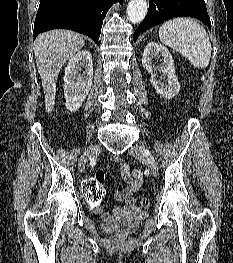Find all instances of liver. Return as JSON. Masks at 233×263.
Here are the masks:
<instances>
[{
    "mask_svg": "<svg viewBox=\"0 0 233 263\" xmlns=\"http://www.w3.org/2000/svg\"><path fill=\"white\" fill-rule=\"evenodd\" d=\"M83 46V36L70 30H51L36 38L34 54L48 113L52 112L55 104L56 81L61 67Z\"/></svg>",
    "mask_w": 233,
    "mask_h": 263,
    "instance_id": "1",
    "label": "liver"
}]
</instances>
